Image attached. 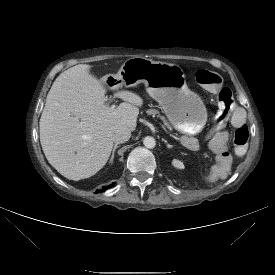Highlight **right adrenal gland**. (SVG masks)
Wrapping results in <instances>:
<instances>
[{
    "instance_id": "obj_1",
    "label": "right adrenal gland",
    "mask_w": 275,
    "mask_h": 275,
    "mask_svg": "<svg viewBox=\"0 0 275 275\" xmlns=\"http://www.w3.org/2000/svg\"><path fill=\"white\" fill-rule=\"evenodd\" d=\"M118 147H119V146H118L117 144L113 147L112 155H111V158H110V163L113 162L114 154H115V151H116V149H117Z\"/></svg>"
}]
</instances>
